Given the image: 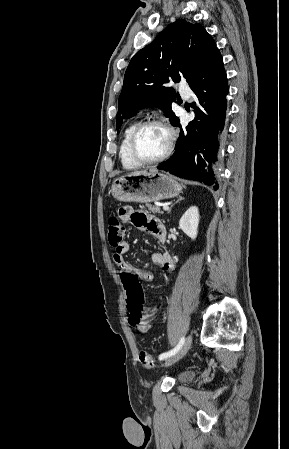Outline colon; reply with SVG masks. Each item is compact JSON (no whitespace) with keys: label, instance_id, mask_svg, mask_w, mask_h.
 I'll return each mask as SVG.
<instances>
[{"label":"colon","instance_id":"colon-1","mask_svg":"<svg viewBox=\"0 0 289 449\" xmlns=\"http://www.w3.org/2000/svg\"><path fill=\"white\" fill-rule=\"evenodd\" d=\"M126 228L124 224L115 216L108 220V241L111 246H120L125 238ZM119 279L127 291V306L129 310V320L132 326L138 327L142 321L143 291L138 278L133 271H120ZM140 362L145 367H153L155 362L151 354L146 350H141L139 354Z\"/></svg>","mask_w":289,"mask_h":449}]
</instances>
